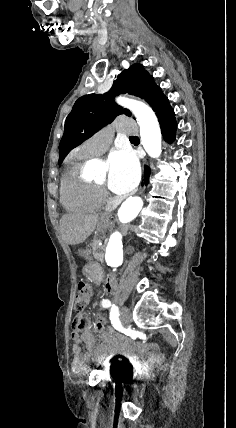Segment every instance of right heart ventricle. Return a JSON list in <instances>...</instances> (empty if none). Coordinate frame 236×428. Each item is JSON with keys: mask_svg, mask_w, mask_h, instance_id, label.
<instances>
[{"mask_svg": "<svg viewBox=\"0 0 236 428\" xmlns=\"http://www.w3.org/2000/svg\"><path fill=\"white\" fill-rule=\"evenodd\" d=\"M89 157L84 146L75 150L60 183V197L68 210L81 209L97 211L103 203V196L96 184L86 178L83 168Z\"/></svg>", "mask_w": 236, "mask_h": 428, "instance_id": "obj_1", "label": "right heart ventricle"}]
</instances>
